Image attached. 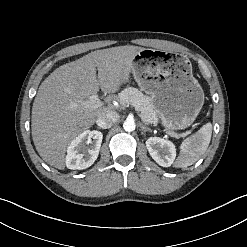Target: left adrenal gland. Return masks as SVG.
<instances>
[{
	"label": "left adrenal gland",
	"instance_id": "left-adrenal-gland-1",
	"mask_svg": "<svg viewBox=\"0 0 247 247\" xmlns=\"http://www.w3.org/2000/svg\"><path fill=\"white\" fill-rule=\"evenodd\" d=\"M139 125L143 133H145L146 131H149V132L152 131L149 127H146L143 123H139Z\"/></svg>",
	"mask_w": 247,
	"mask_h": 247
}]
</instances>
